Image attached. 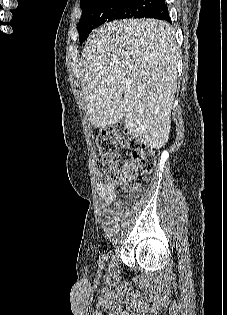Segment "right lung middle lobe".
<instances>
[{"label": "right lung middle lobe", "instance_id": "right-lung-middle-lobe-1", "mask_svg": "<svg viewBox=\"0 0 227 315\" xmlns=\"http://www.w3.org/2000/svg\"><path fill=\"white\" fill-rule=\"evenodd\" d=\"M159 0H82V16L77 29L82 43L99 25L126 18H146Z\"/></svg>", "mask_w": 227, "mask_h": 315}]
</instances>
